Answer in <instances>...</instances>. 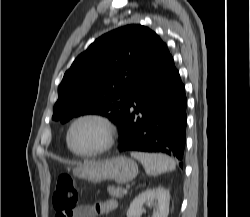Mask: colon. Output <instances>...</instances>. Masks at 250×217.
I'll return each mask as SVG.
<instances>
[{
    "label": "colon",
    "instance_id": "5ec220e1",
    "mask_svg": "<svg viewBox=\"0 0 250 217\" xmlns=\"http://www.w3.org/2000/svg\"><path fill=\"white\" fill-rule=\"evenodd\" d=\"M79 202L77 186L70 175H60L56 181L52 204L55 217H71Z\"/></svg>",
    "mask_w": 250,
    "mask_h": 217
}]
</instances>
